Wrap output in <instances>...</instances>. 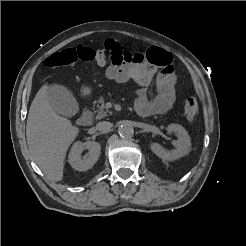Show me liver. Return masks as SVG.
Here are the masks:
<instances>
[{"instance_id": "liver-1", "label": "liver", "mask_w": 246, "mask_h": 246, "mask_svg": "<svg viewBox=\"0 0 246 246\" xmlns=\"http://www.w3.org/2000/svg\"><path fill=\"white\" fill-rule=\"evenodd\" d=\"M48 86L35 95L27 118L26 138L33 161L54 182L63 179L66 152L79 133L72 122L51 107Z\"/></svg>"}]
</instances>
